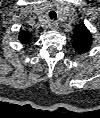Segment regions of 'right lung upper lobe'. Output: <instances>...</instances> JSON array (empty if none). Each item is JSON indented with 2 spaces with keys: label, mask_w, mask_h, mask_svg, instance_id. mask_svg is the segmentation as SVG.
Returning <instances> with one entry per match:
<instances>
[{
  "label": "right lung upper lobe",
  "mask_w": 100,
  "mask_h": 118,
  "mask_svg": "<svg viewBox=\"0 0 100 118\" xmlns=\"http://www.w3.org/2000/svg\"><path fill=\"white\" fill-rule=\"evenodd\" d=\"M30 37H31V34L29 32H20V34H19V40L23 44H29Z\"/></svg>",
  "instance_id": "cb5924a9"
}]
</instances>
